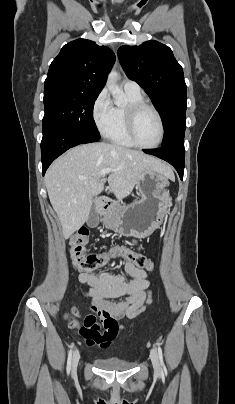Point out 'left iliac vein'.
<instances>
[{"instance_id": "1", "label": "left iliac vein", "mask_w": 235, "mask_h": 404, "mask_svg": "<svg viewBox=\"0 0 235 404\" xmlns=\"http://www.w3.org/2000/svg\"><path fill=\"white\" fill-rule=\"evenodd\" d=\"M150 358H151L152 365H153V368H154L155 372L159 373L161 368H160L158 354H157V352H156V350L154 348L151 349Z\"/></svg>"}]
</instances>
